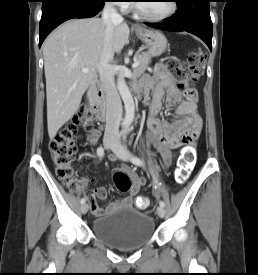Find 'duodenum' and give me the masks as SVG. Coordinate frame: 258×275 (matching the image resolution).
<instances>
[{
  "label": "duodenum",
  "instance_id": "1",
  "mask_svg": "<svg viewBox=\"0 0 258 275\" xmlns=\"http://www.w3.org/2000/svg\"><path fill=\"white\" fill-rule=\"evenodd\" d=\"M135 92L140 96V88L135 87ZM102 94L97 88V84L94 80H91L88 85L86 102L89 107L92 109L96 118L104 122L106 119V109L104 104L101 101Z\"/></svg>",
  "mask_w": 258,
  "mask_h": 275
}]
</instances>
